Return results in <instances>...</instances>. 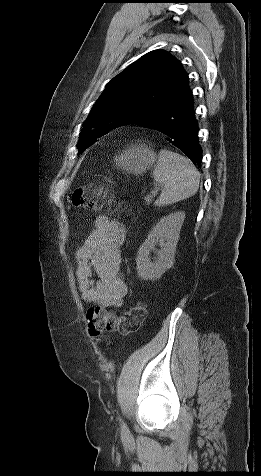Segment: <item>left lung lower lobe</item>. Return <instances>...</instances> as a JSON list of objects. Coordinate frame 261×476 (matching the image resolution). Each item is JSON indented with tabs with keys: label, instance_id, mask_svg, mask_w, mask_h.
<instances>
[{
	"label": "left lung lower lobe",
	"instance_id": "0a47b994",
	"mask_svg": "<svg viewBox=\"0 0 261 476\" xmlns=\"http://www.w3.org/2000/svg\"><path fill=\"white\" fill-rule=\"evenodd\" d=\"M138 124L165 135L166 140L181 150L195 165L202 163V150L198 143L199 128L191 91L162 113L152 115Z\"/></svg>",
	"mask_w": 261,
	"mask_h": 476
}]
</instances>
